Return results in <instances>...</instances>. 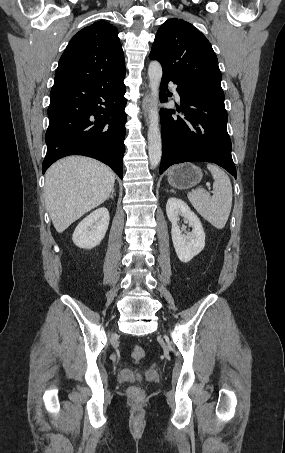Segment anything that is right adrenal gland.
<instances>
[{
  "label": "right adrenal gland",
  "instance_id": "obj_1",
  "mask_svg": "<svg viewBox=\"0 0 285 453\" xmlns=\"http://www.w3.org/2000/svg\"><path fill=\"white\" fill-rule=\"evenodd\" d=\"M114 193H115V189H113V190H112V192H111L110 196H109V197H108L107 199H109V198L113 199V198H114V196H113V195H114Z\"/></svg>",
  "mask_w": 285,
  "mask_h": 453
}]
</instances>
